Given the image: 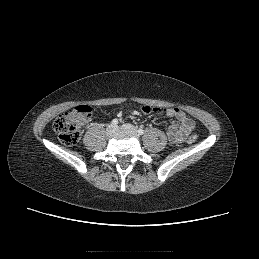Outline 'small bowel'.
Masks as SVG:
<instances>
[{"label": "small bowel", "mask_w": 259, "mask_h": 259, "mask_svg": "<svg viewBox=\"0 0 259 259\" xmlns=\"http://www.w3.org/2000/svg\"><path fill=\"white\" fill-rule=\"evenodd\" d=\"M141 111L144 113L161 114V109L154 106H141ZM164 113L174 120V123L167 129L166 135L170 142H182L192 131H194L196 124L189 118L185 112L178 108H166Z\"/></svg>", "instance_id": "obj_1"}]
</instances>
